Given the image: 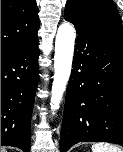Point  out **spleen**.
I'll return each instance as SVG.
<instances>
[{"mask_svg": "<svg viewBox=\"0 0 123 152\" xmlns=\"http://www.w3.org/2000/svg\"><path fill=\"white\" fill-rule=\"evenodd\" d=\"M92 152H123V150L108 143H96L92 145Z\"/></svg>", "mask_w": 123, "mask_h": 152, "instance_id": "spleen-1", "label": "spleen"}]
</instances>
